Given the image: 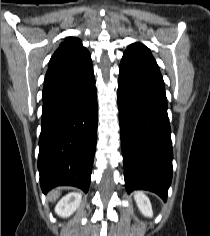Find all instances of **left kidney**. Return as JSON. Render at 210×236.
Masks as SVG:
<instances>
[{"mask_svg": "<svg viewBox=\"0 0 210 236\" xmlns=\"http://www.w3.org/2000/svg\"><path fill=\"white\" fill-rule=\"evenodd\" d=\"M134 198H135L136 204H137L139 210L141 211V213L144 216L152 217L153 211H152V207H151V203H150L149 198L141 192H136L134 194Z\"/></svg>", "mask_w": 210, "mask_h": 236, "instance_id": "5707ae66", "label": "left kidney"}]
</instances>
